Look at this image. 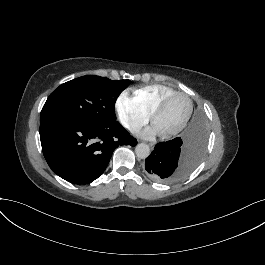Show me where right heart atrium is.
<instances>
[{"mask_svg": "<svg viewBox=\"0 0 265 265\" xmlns=\"http://www.w3.org/2000/svg\"><path fill=\"white\" fill-rule=\"evenodd\" d=\"M118 108L131 131L139 130L151 118V112L136 98L123 94L118 101Z\"/></svg>", "mask_w": 265, "mask_h": 265, "instance_id": "d8ad5b80", "label": "right heart atrium"}]
</instances>
